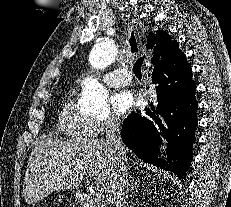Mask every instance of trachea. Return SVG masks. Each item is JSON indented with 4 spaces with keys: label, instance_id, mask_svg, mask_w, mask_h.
<instances>
[{
    "label": "trachea",
    "instance_id": "3493384b",
    "mask_svg": "<svg viewBox=\"0 0 231 207\" xmlns=\"http://www.w3.org/2000/svg\"><path fill=\"white\" fill-rule=\"evenodd\" d=\"M129 43H130L131 52L136 53L138 51V47H137L136 38L133 32L131 33ZM143 61H144V56L137 59V61L134 63V66H133V72L135 76L138 78L142 76L141 68L143 65Z\"/></svg>",
    "mask_w": 231,
    "mask_h": 207
}]
</instances>
